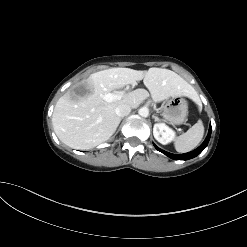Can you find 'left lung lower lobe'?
I'll return each instance as SVG.
<instances>
[{"label": "left lung lower lobe", "instance_id": "1", "mask_svg": "<svg viewBox=\"0 0 247 247\" xmlns=\"http://www.w3.org/2000/svg\"><path fill=\"white\" fill-rule=\"evenodd\" d=\"M211 130H212V128H211V125H210L209 132H208V135H207L205 141L197 149H195L194 151H191V152H188V153H185V154H180V155L171 154L169 152H166V151L158 148L156 145H154V146L158 151L164 153L165 155H167L168 157H170L172 159H175V160H188V159L196 157L197 155H199L206 148V146L208 145V142L210 140Z\"/></svg>", "mask_w": 247, "mask_h": 247}]
</instances>
